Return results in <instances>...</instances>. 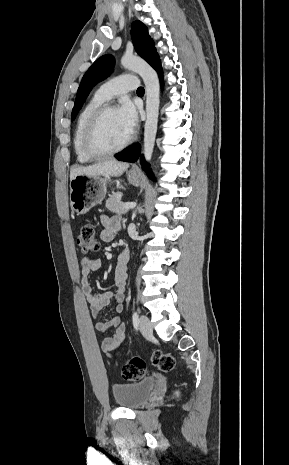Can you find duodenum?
<instances>
[{
    "mask_svg": "<svg viewBox=\"0 0 289 465\" xmlns=\"http://www.w3.org/2000/svg\"><path fill=\"white\" fill-rule=\"evenodd\" d=\"M120 260L123 262V263H127L128 260H129V250L126 248L122 251V253L120 254Z\"/></svg>",
    "mask_w": 289,
    "mask_h": 465,
    "instance_id": "duodenum-1",
    "label": "duodenum"
}]
</instances>
